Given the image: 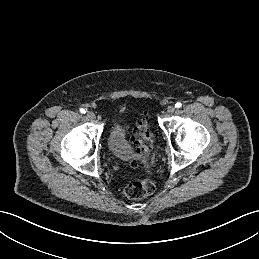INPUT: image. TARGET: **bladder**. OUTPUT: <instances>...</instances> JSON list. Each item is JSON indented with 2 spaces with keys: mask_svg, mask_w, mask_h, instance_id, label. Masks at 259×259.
<instances>
[{
  "mask_svg": "<svg viewBox=\"0 0 259 259\" xmlns=\"http://www.w3.org/2000/svg\"><path fill=\"white\" fill-rule=\"evenodd\" d=\"M109 153L122 160H130L136 157L129 140V126L121 117L112 124L106 138Z\"/></svg>",
  "mask_w": 259,
  "mask_h": 259,
  "instance_id": "bladder-1",
  "label": "bladder"
}]
</instances>
